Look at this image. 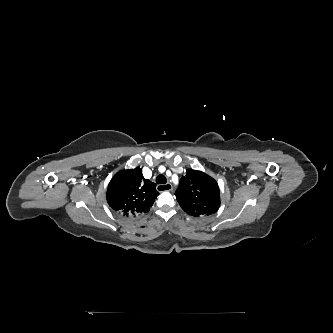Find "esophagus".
<instances>
[{"label":"esophagus","instance_id":"esophagus-1","mask_svg":"<svg viewBox=\"0 0 333 333\" xmlns=\"http://www.w3.org/2000/svg\"><path fill=\"white\" fill-rule=\"evenodd\" d=\"M172 189H173V186L170 183L161 184V185L157 186V190L159 192H162V191H171Z\"/></svg>","mask_w":333,"mask_h":333}]
</instances>
